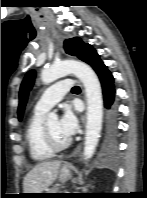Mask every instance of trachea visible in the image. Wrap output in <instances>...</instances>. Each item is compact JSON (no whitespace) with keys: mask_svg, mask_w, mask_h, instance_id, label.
I'll return each mask as SVG.
<instances>
[{"mask_svg":"<svg viewBox=\"0 0 147 198\" xmlns=\"http://www.w3.org/2000/svg\"><path fill=\"white\" fill-rule=\"evenodd\" d=\"M78 90H80V88H79L78 86H74V87L72 88V91H78Z\"/></svg>","mask_w":147,"mask_h":198,"instance_id":"obj_1","label":"trachea"}]
</instances>
